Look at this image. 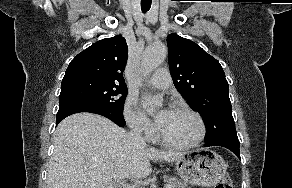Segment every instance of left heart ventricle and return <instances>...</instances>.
Returning <instances> with one entry per match:
<instances>
[{
    "label": "left heart ventricle",
    "instance_id": "left-heart-ventricle-1",
    "mask_svg": "<svg viewBox=\"0 0 292 188\" xmlns=\"http://www.w3.org/2000/svg\"><path fill=\"white\" fill-rule=\"evenodd\" d=\"M160 133L174 143H189L199 133L197 120L191 114L178 110H165L157 114Z\"/></svg>",
    "mask_w": 292,
    "mask_h": 188
}]
</instances>
